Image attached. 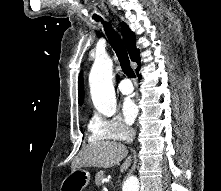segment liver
<instances>
[{
  "instance_id": "6515ba94",
  "label": "liver",
  "mask_w": 221,
  "mask_h": 191,
  "mask_svg": "<svg viewBox=\"0 0 221 191\" xmlns=\"http://www.w3.org/2000/svg\"><path fill=\"white\" fill-rule=\"evenodd\" d=\"M128 154L125 145L114 141H98L85 146L72 162V171L82 167L110 168L118 164ZM131 164V156L121 165L120 171H126Z\"/></svg>"
}]
</instances>
